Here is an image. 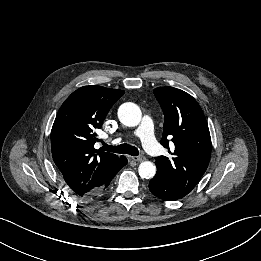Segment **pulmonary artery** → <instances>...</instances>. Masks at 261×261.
Returning a JSON list of instances; mask_svg holds the SVG:
<instances>
[{"mask_svg": "<svg viewBox=\"0 0 261 261\" xmlns=\"http://www.w3.org/2000/svg\"><path fill=\"white\" fill-rule=\"evenodd\" d=\"M134 134L142 140L145 151L151 156H159L161 148L154 136V124L149 115L142 117L140 125L135 129Z\"/></svg>", "mask_w": 261, "mask_h": 261, "instance_id": "e3ab8cb5", "label": "pulmonary artery"}]
</instances>
